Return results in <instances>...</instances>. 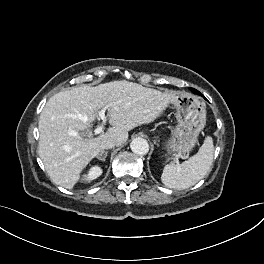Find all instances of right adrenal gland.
<instances>
[{
  "mask_svg": "<svg viewBox=\"0 0 264 264\" xmlns=\"http://www.w3.org/2000/svg\"><path fill=\"white\" fill-rule=\"evenodd\" d=\"M108 155V151H101L98 155H97V159L100 161H105L106 157Z\"/></svg>",
  "mask_w": 264,
  "mask_h": 264,
  "instance_id": "obj_1",
  "label": "right adrenal gland"
}]
</instances>
